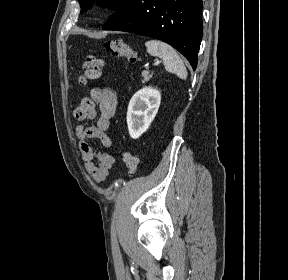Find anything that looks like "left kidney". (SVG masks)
<instances>
[{"mask_svg":"<svg viewBox=\"0 0 288 280\" xmlns=\"http://www.w3.org/2000/svg\"><path fill=\"white\" fill-rule=\"evenodd\" d=\"M161 102V93L152 87L136 92L128 105L127 125L131 138H139L154 120Z\"/></svg>","mask_w":288,"mask_h":280,"instance_id":"5707ae66","label":"left kidney"}]
</instances>
